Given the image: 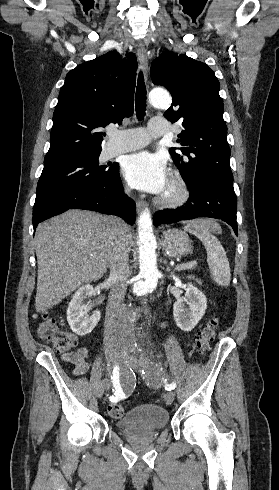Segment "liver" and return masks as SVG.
Instances as JSON below:
<instances>
[{"label": "liver", "mask_w": 279, "mask_h": 490, "mask_svg": "<svg viewBox=\"0 0 279 490\" xmlns=\"http://www.w3.org/2000/svg\"><path fill=\"white\" fill-rule=\"evenodd\" d=\"M117 230L127 232L126 248L130 252L133 238L129 226L117 228L111 216L68 210L37 226V312L56 306L81 284L103 278L117 242Z\"/></svg>", "instance_id": "liver-1"}]
</instances>
